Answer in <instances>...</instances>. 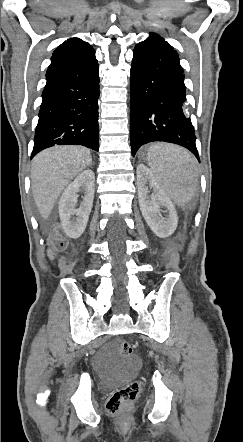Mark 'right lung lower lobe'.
I'll return each instance as SVG.
<instances>
[{"mask_svg":"<svg viewBox=\"0 0 243 442\" xmlns=\"http://www.w3.org/2000/svg\"><path fill=\"white\" fill-rule=\"evenodd\" d=\"M98 72L94 50L48 67L31 158L54 145L99 150Z\"/></svg>","mask_w":243,"mask_h":442,"instance_id":"1","label":"right lung lower lobe"}]
</instances>
